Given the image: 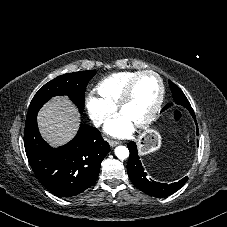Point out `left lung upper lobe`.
<instances>
[{
  "mask_svg": "<svg viewBox=\"0 0 227 227\" xmlns=\"http://www.w3.org/2000/svg\"><path fill=\"white\" fill-rule=\"evenodd\" d=\"M169 85L171 88V92H172V96L174 99V102L177 105L183 106L185 108H187L189 110V112H194L188 99L186 98V96L184 95V93L181 91V89L179 87H177L173 82L169 81ZM172 103L167 104L162 111H164L165 109L169 108L170 106H172Z\"/></svg>",
  "mask_w": 227,
  "mask_h": 227,
  "instance_id": "left-lung-upper-lobe-1",
  "label": "left lung upper lobe"
}]
</instances>
